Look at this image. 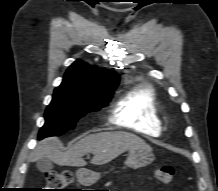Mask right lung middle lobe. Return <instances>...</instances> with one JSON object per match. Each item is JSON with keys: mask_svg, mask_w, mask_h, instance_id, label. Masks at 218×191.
<instances>
[{"mask_svg": "<svg viewBox=\"0 0 218 191\" xmlns=\"http://www.w3.org/2000/svg\"><path fill=\"white\" fill-rule=\"evenodd\" d=\"M111 96L90 97L76 95L56 88L53 99L45 111V124L39 131V139L59 136L76 126L86 113L107 106Z\"/></svg>", "mask_w": 218, "mask_h": 191, "instance_id": "right-lung-middle-lobe-1", "label": "right lung middle lobe"}]
</instances>
